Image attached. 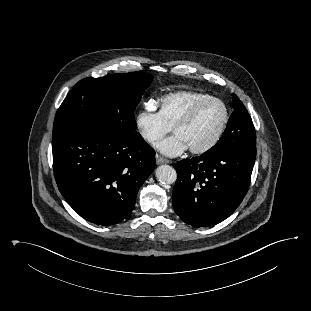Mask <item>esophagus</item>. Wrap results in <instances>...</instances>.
Listing matches in <instances>:
<instances>
[{
	"label": "esophagus",
	"instance_id": "34e87169",
	"mask_svg": "<svg viewBox=\"0 0 311 311\" xmlns=\"http://www.w3.org/2000/svg\"><path fill=\"white\" fill-rule=\"evenodd\" d=\"M170 161L166 158H163L159 155H156V164L160 165V164H166L169 163Z\"/></svg>",
	"mask_w": 311,
	"mask_h": 311
}]
</instances>
